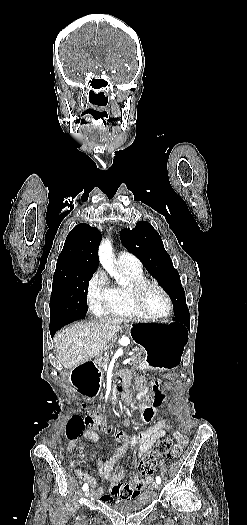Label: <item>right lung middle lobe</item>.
Here are the masks:
<instances>
[{"label":"right lung middle lobe","mask_w":247,"mask_h":525,"mask_svg":"<svg viewBox=\"0 0 247 525\" xmlns=\"http://www.w3.org/2000/svg\"><path fill=\"white\" fill-rule=\"evenodd\" d=\"M93 273L55 271L50 298V327L82 319L87 313L88 282Z\"/></svg>","instance_id":"obj_1"}]
</instances>
